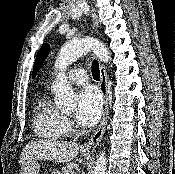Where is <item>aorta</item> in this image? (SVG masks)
<instances>
[{"instance_id":"1","label":"aorta","mask_w":175,"mask_h":174,"mask_svg":"<svg viewBox=\"0 0 175 174\" xmlns=\"http://www.w3.org/2000/svg\"><path fill=\"white\" fill-rule=\"evenodd\" d=\"M89 51H93L97 58L105 63L111 60L110 53L105 44L94 38L72 41L60 49L55 67L61 72L57 75L56 83L53 86L55 100L59 106L65 108H74L76 106V97L69 85L65 70L69 64ZM93 174H106L105 152L100 153L98 156Z\"/></svg>"}]
</instances>
